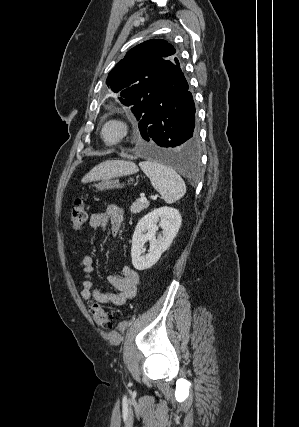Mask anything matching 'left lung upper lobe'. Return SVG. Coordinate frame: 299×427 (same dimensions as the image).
<instances>
[{
  "instance_id": "1",
  "label": "left lung upper lobe",
  "mask_w": 299,
  "mask_h": 427,
  "mask_svg": "<svg viewBox=\"0 0 299 427\" xmlns=\"http://www.w3.org/2000/svg\"><path fill=\"white\" fill-rule=\"evenodd\" d=\"M175 53L165 40H148L129 50L110 71L106 84L119 93L124 105L132 106L137 120L178 80L181 69L173 59Z\"/></svg>"
}]
</instances>
